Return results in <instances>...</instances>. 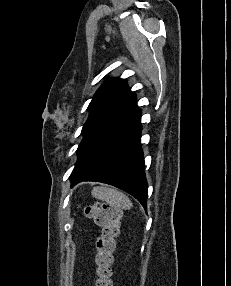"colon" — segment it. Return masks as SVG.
<instances>
[{
  "mask_svg": "<svg viewBox=\"0 0 231 286\" xmlns=\"http://www.w3.org/2000/svg\"><path fill=\"white\" fill-rule=\"evenodd\" d=\"M85 214L101 228V233L96 241V286H113L112 263L115 248V239L119 233L121 211L110 203H95L86 208Z\"/></svg>",
  "mask_w": 231,
  "mask_h": 286,
  "instance_id": "1",
  "label": "colon"
}]
</instances>
